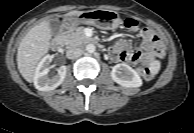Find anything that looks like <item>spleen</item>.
<instances>
[{
	"mask_svg": "<svg viewBox=\"0 0 194 133\" xmlns=\"http://www.w3.org/2000/svg\"><path fill=\"white\" fill-rule=\"evenodd\" d=\"M160 66H161L160 61L158 60L152 61L149 67L151 75L153 76L156 75L160 70Z\"/></svg>",
	"mask_w": 194,
	"mask_h": 133,
	"instance_id": "3e777b00",
	"label": "spleen"
}]
</instances>
